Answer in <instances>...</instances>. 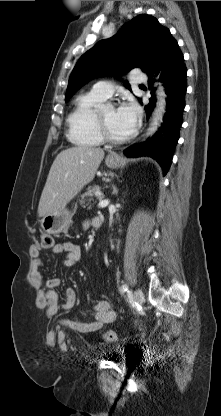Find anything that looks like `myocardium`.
<instances>
[{
	"instance_id": "f54148a6",
	"label": "myocardium",
	"mask_w": 221,
	"mask_h": 416,
	"mask_svg": "<svg viewBox=\"0 0 221 416\" xmlns=\"http://www.w3.org/2000/svg\"><path fill=\"white\" fill-rule=\"evenodd\" d=\"M96 122H97V128L99 131V134L103 141L114 144V145H120L124 144L125 142L129 141L131 136H127L125 138H115L110 134V131L106 125V123L103 120V117L101 115V110H97L96 112Z\"/></svg>"
}]
</instances>
